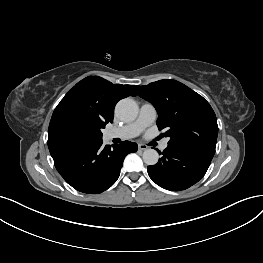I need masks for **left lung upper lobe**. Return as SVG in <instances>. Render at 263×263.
<instances>
[{"label":"left lung upper lobe","instance_id":"5c2ea615","mask_svg":"<svg viewBox=\"0 0 263 263\" xmlns=\"http://www.w3.org/2000/svg\"><path fill=\"white\" fill-rule=\"evenodd\" d=\"M136 93L154 105L157 126L166 129L169 146L215 153L218 125L209 103L198 93L176 80H159L134 85Z\"/></svg>","mask_w":263,"mask_h":263}]
</instances>
